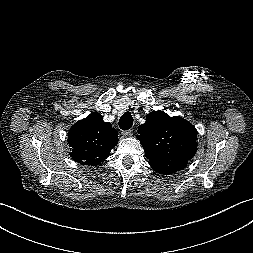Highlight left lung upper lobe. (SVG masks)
<instances>
[{"instance_id": "5c2ea615", "label": "left lung upper lobe", "mask_w": 253, "mask_h": 253, "mask_svg": "<svg viewBox=\"0 0 253 253\" xmlns=\"http://www.w3.org/2000/svg\"><path fill=\"white\" fill-rule=\"evenodd\" d=\"M138 133L150 166L160 174L184 169L197 149L196 128L187 120L162 111L149 113Z\"/></svg>"}]
</instances>
